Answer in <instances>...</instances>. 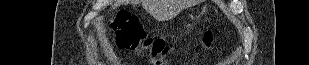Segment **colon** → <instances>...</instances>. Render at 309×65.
<instances>
[{"label":"colon","instance_id":"5ec220e1","mask_svg":"<svg viewBox=\"0 0 309 65\" xmlns=\"http://www.w3.org/2000/svg\"><path fill=\"white\" fill-rule=\"evenodd\" d=\"M109 27L115 32L116 43L119 48L132 51L140 48L150 49L153 54L152 62L156 65L163 64L162 58L170 53V48L165 41L147 37L138 18L128 11L118 12ZM212 40V32H205L202 43L205 46H210Z\"/></svg>","mask_w":309,"mask_h":65}]
</instances>
